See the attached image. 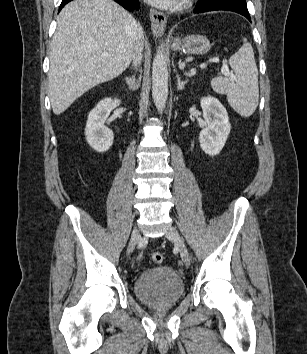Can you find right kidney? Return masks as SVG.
Segmentation results:
<instances>
[{
    "mask_svg": "<svg viewBox=\"0 0 307 354\" xmlns=\"http://www.w3.org/2000/svg\"><path fill=\"white\" fill-rule=\"evenodd\" d=\"M120 103L121 101L116 98H104L98 102L88 115L85 128L86 140L99 153L106 152L113 144V132L104 124L110 112L119 106Z\"/></svg>",
    "mask_w": 307,
    "mask_h": 354,
    "instance_id": "1",
    "label": "right kidney"
}]
</instances>
